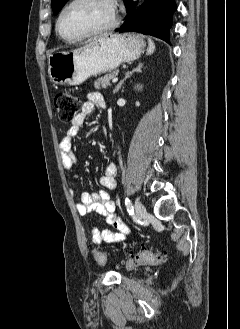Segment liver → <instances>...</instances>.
I'll return each mask as SVG.
<instances>
[{"instance_id": "6515ba94", "label": "liver", "mask_w": 240, "mask_h": 329, "mask_svg": "<svg viewBox=\"0 0 240 329\" xmlns=\"http://www.w3.org/2000/svg\"><path fill=\"white\" fill-rule=\"evenodd\" d=\"M96 40H97V38H93V39L89 40V44H88V45H86L85 47H82V48H80V49H78V50H75V51H80V50H83V49L89 47V46L92 45Z\"/></svg>"}]
</instances>
